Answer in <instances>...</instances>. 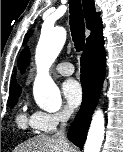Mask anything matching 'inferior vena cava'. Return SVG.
I'll return each mask as SVG.
<instances>
[{"label":"inferior vena cava","instance_id":"obj_1","mask_svg":"<svg viewBox=\"0 0 123 152\" xmlns=\"http://www.w3.org/2000/svg\"><path fill=\"white\" fill-rule=\"evenodd\" d=\"M69 118H70L69 111H63L60 113V122H61L60 131H58L55 135L63 139L64 141H67L64 130Z\"/></svg>","mask_w":123,"mask_h":152}]
</instances>
